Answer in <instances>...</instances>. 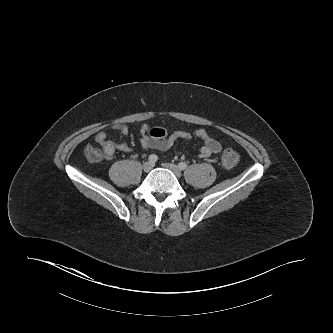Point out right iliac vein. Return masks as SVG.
I'll return each mask as SVG.
<instances>
[{
  "mask_svg": "<svg viewBox=\"0 0 333 333\" xmlns=\"http://www.w3.org/2000/svg\"><path fill=\"white\" fill-rule=\"evenodd\" d=\"M154 167V164L150 161H147L143 164V170L144 172H149L152 170V168Z\"/></svg>",
  "mask_w": 333,
  "mask_h": 333,
  "instance_id": "right-iliac-vein-1",
  "label": "right iliac vein"
}]
</instances>
